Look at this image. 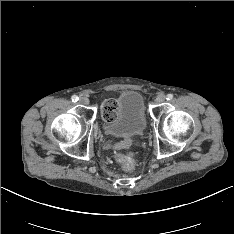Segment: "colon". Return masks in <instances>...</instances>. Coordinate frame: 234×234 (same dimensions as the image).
Segmentation results:
<instances>
[{"instance_id":"5ec220e1","label":"colon","mask_w":234,"mask_h":234,"mask_svg":"<svg viewBox=\"0 0 234 234\" xmlns=\"http://www.w3.org/2000/svg\"><path fill=\"white\" fill-rule=\"evenodd\" d=\"M116 109V103L113 100H107L102 106V117L105 121H110L113 119ZM129 146L128 141H122L116 145L117 149H123ZM119 162L126 171H131L134 169V161L127 156L120 155L118 157Z\"/></svg>"}]
</instances>
